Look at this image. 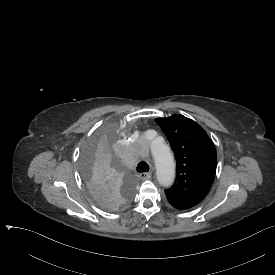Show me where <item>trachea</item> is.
<instances>
[{
	"label": "trachea",
	"instance_id": "1",
	"mask_svg": "<svg viewBox=\"0 0 275 275\" xmlns=\"http://www.w3.org/2000/svg\"><path fill=\"white\" fill-rule=\"evenodd\" d=\"M136 170L140 173L148 172L149 171V165L146 162L142 161L137 165Z\"/></svg>",
	"mask_w": 275,
	"mask_h": 275
}]
</instances>
